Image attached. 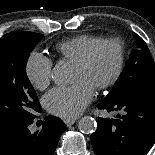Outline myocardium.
Here are the masks:
<instances>
[{"instance_id":"f54148a6","label":"myocardium","mask_w":155,"mask_h":155,"mask_svg":"<svg viewBox=\"0 0 155 155\" xmlns=\"http://www.w3.org/2000/svg\"><path fill=\"white\" fill-rule=\"evenodd\" d=\"M106 45L115 46L118 51V60L114 72L112 75L105 81L97 84L94 88L96 90H103L114 85L122 75L124 64H125V47L121 40L116 38L103 39L93 45L84 56L75 63V66L80 68H86L92 62L94 56L99 51L100 48Z\"/></svg>"}]
</instances>
